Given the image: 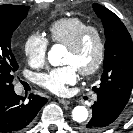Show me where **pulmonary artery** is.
<instances>
[{"label": "pulmonary artery", "mask_w": 133, "mask_h": 133, "mask_svg": "<svg viewBox=\"0 0 133 133\" xmlns=\"http://www.w3.org/2000/svg\"><path fill=\"white\" fill-rule=\"evenodd\" d=\"M17 91L19 92L20 91V88H17Z\"/></svg>", "instance_id": "1"}]
</instances>
